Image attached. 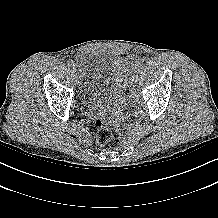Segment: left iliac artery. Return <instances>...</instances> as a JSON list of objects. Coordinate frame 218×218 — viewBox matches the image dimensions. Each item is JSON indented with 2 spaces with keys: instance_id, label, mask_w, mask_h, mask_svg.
<instances>
[{
  "instance_id": "44dca946",
  "label": "left iliac artery",
  "mask_w": 218,
  "mask_h": 218,
  "mask_svg": "<svg viewBox=\"0 0 218 218\" xmlns=\"http://www.w3.org/2000/svg\"><path fill=\"white\" fill-rule=\"evenodd\" d=\"M142 66V63H139V65H137L131 72H137Z\"/></svg>"
}]
</instances>
